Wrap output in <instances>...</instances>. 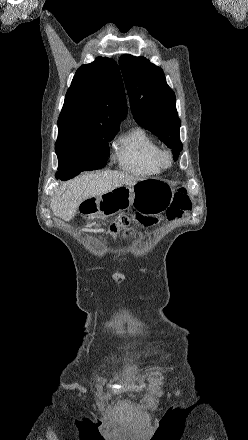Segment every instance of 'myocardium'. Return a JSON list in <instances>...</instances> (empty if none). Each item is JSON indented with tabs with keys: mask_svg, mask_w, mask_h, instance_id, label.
<instances>
[{
	"mask_svg": "<svg viewBox=\"0 0 248 440\" xmlns=\"http://www.w3.org/2000/svg\"><path fill=\"white\" fill-rule=\"evenodd\" d=\"M157 161L162 169H166L172 164V155L169 151L160 150L157 155Z\"/></svg>",
	"mask_w": 248,
	"mask_h": 440,
	"instance_id": "obj_1",
	"label": "myocardium"
}]
</instances>
